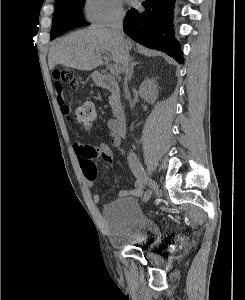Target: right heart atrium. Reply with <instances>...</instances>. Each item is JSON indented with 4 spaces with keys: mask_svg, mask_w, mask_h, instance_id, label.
Wrapping results in <instances>:
<instances>
[{
    "mask_svg": "<svg viewBox=\"0 0 245 300\" xmlns=\"http://www.w3.org/2000/svg\"><path fill=\"white\" fill-rule=\"evenodd\" d=\"M84 18L96 26H108L120 21L125 14L122 0H84Z\"/></svg>",
    "mask_w": 245,
    "mask_h": 300,
    "instance_id": "right-heart-atrium-1",
    "label": "right heart atrium"
}]
</instances>
